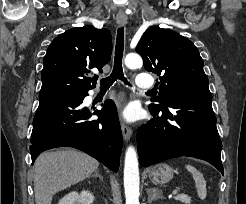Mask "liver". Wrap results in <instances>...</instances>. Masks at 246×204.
Instances as JSON below:
<instances>
[{
    "instance_id": "1",
    "label": "liver",
    "mask_w": 246,
    "mask_h": 204,
    "mask_svg": "<svg viewBox=\"0 0 246 204\" xmlns=\"http://www.w3.org/2000/svg\"><path fill=\"white\" fill-rule=\"evenodd\" d=\"M99 162L74 150L44 152L34 164V193L36 204H51L55 193L90 176Z\"/></svg>"
}]
</instances>
